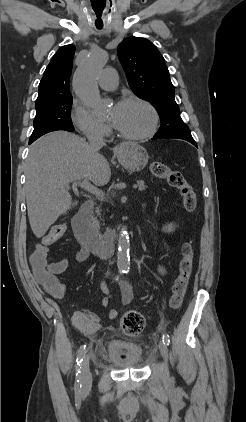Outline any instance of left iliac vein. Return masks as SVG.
Returning <instances> with one entry per match:
<instances>
[{
	"mask_svg": "<svg viewBox=\"0 0 246 422\" xmlns=\"http://www.w3.org/2000/svg\"><path fill=\"white\" fill-rule=\"evenodd\" d=\"M159 350L162 357L167 360L168 359V348L167 345L162 341L159 342Z\"/></svg>",
	"mask_w": 246,
	"mask_h": 422,
	"instance_id": "4c4485c4",
	"label": "left iliac vein"
}]
</instances>
